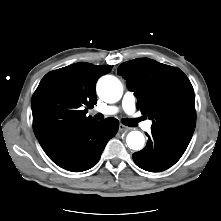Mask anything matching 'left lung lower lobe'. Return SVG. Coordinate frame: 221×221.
<instances>
[{
  "label": "left lung lower lobe",
  "mask_w": 221,
  "mask_h": 221,
  "mask_svg": "<svg viewBox=\"0 0 221 221\" xmlns=\"http://www.w3.org/2000/svg\"><path fill=\"white\" fill-rule=\"evenodd\" d=\"M146 147L133 154L137 166L149 172H161L174 165L185 152L184 145L169 136L151 130Z\"/></svg>",
  "instance_id": "1"
}]
</instances>
